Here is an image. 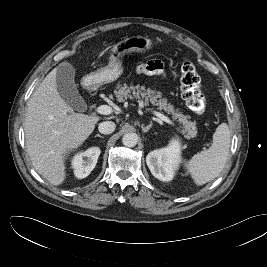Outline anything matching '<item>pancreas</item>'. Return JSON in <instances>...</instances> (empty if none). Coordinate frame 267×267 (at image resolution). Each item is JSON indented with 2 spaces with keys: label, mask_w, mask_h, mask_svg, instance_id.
I'll return each instance as SVG.
<instances>
[{
  "label": "pancreas",
  "mask_w": 267,
  "mask_h": 267,
  "mask_svg": "<svg viewBox=\"0 0 267 267\" xmlns=\"http://www.w3.org/2000/svg\"><path fill=\"white\" fill-rule=\"evenodd\" d=\"M114 94L119 102H123L130 99H137L142 106H148L151 103L154 106H157L159 110H164L168 114H171L174 120L179 121L183 124L185 131H187V137H195L197 134V129L195 122L189 121L190 116L183 115L178 110H175L173 105L168 103L166 98H162V93L155 92L151 89H145L144 86H128L124 84L121 86L117 85V90L114 91Z\"/></svg>",
  "instance_id": "obj_1"
}]
</instances>
